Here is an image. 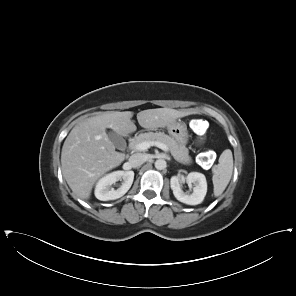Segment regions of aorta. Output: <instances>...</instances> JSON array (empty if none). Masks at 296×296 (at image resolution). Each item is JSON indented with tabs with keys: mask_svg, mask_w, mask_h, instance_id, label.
Returning <instances> with one entry per match:
<instances>
[{
	"mask_svg": "<svg viewBox=\"0 0 296 296\" xmlns=\"http://www.w3.org/2000/svg\"><path fill=\"white\" fill-rule=\"evenodd\" d=\"M155 168L158 169V170H163L166 168L167 166V163L164 159H158L155 161Z\"/></svg>",
	"mask_w": 296,
	"mask_h": 296,
	"instance_id": "aorta-1",
	"label": "aorta"
}]
</instances>
